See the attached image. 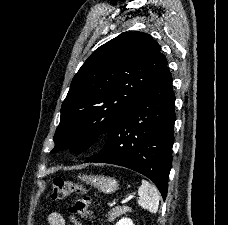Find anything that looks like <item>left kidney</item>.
I'll use <instances>...</instances> for the list:
<instances>
[{"mask_svg": "<svg viewBox=\"0 0 228 225\" xmlns=\"http://www.w3.org/2000/svg\"><path fill=\"white\" fill-rule=\"evenodd\" d=\"M116 225H133V221H131V219H127V217H123V219H120Z\"/></svg>", "mask_w": 228, "mask_h": 225, "instance_id": "1", "label": "left kidney"}]
</instances>
